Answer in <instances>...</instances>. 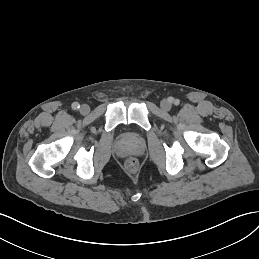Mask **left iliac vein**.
I'll return each mask as SVG.
<instances>
[{
	"label": "left iliac vein",
	"instance_id": "1",
	"mask_svg": "<svg viewBox=\"0 0 259 259\" xmlns=\"http://www.w3.org/2000/svg\"><path fill=\"white\" fill-rule=\"evenodd\" d=\"M171 105H172L171 102L169 100H166V99L162 100L161 104H160L161 108L164 111H169L171 109Z\"/></svg>",
	"mask_w": 259,
	"mask_h": 259
}]
</instances>
